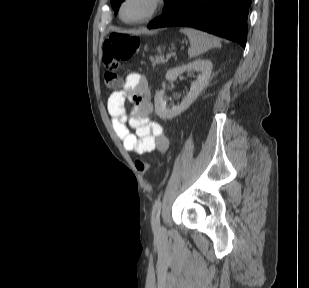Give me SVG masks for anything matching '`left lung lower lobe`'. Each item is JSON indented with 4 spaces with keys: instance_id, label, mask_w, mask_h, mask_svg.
Instances as JSON below:
<instances>
[{
    "instance_id": "1",
    "label": "left lung lower lobe",
    "mask_w": 309,
    "mask_h": 288,
    "mask_svg": "<svg viewBox=\"0 0 309 288\" xmlns=\"http://www.w3.org/2000/svg\"><path fill=\"white\" fill-rule=\"evenodd\" d=\"M252 0H175L149 29L194 27L246 45L247 16Z\"/></svg>"
}]
</instances>
